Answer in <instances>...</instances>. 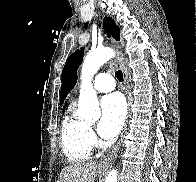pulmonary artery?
<instances>
[{
  "label": "pulmonary artery",
  "mask_w": 196,
  "mask_h": 182,
  "mask_svg": "<svg viewBox=\"0 0 196 182\" xmlns=\"http://www.w3.org/2000/svg\"><path fill=\"white\" fill-rule=\"evenodd\" d=\"M93 88L98 92H110L115 88L114 79L110 75L99 74L93 82Z\"/></svg>",
  "instance_id": "1"
}]
</instances>
